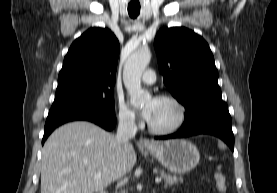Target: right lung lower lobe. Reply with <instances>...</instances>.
<instances>
[{"label":"right lung lower lobe","instance_id":"right-lung-lower-lobe-1","mask_svg":"<svg viewBox=\"0 0 277 193\" xmlns=\"http://www.w3.org/2000/svg\"><path fill=\"white\" fill-rule=\"evenodd\" d=\"M75 120L90 121L108 131L116 125V117L112 113L82 104L53 103L44 127L42 144L56 127Z\"/></svg>","mask_w":277,"mask_h":193}]
</instances>
